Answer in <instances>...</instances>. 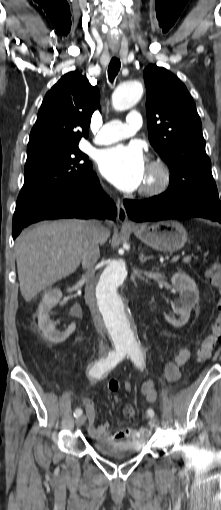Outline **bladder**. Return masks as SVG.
Listing matches in <instances>:
<instances>
[{
    "label": "bladder",
    "instance_id": "bladder-1",
    "mask_svg": "<svg viewBox=\"0 0 221 510\" xmlns=\"http://www.w3.org/2000/svg\"><path fill=\"white\" fill-rule=\"evenodd\" d=\"M93 445L97 452L111 458H127L143 449L142 442L137 438L130 441L96 439Z\"/></svg>",
    "mask_w": 221,
    "mask_h": 510
}]
</instances>
